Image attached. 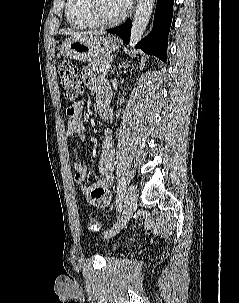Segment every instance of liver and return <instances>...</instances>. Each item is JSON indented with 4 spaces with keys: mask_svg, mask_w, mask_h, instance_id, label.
Here are the masks:
<instances>
[{
    "mask_svg": "<svg viewBox=\"0 0 239 303\" xmlns=\"http://www.w3.org/2000/svg\"><path fill=\"white\" fill-rule=\"evenodd\" d=\"M65 35H69L71 36V38H78V37H82V36H97V35H101L103 34V32H99V31H87V32H73V31H65L64 32Z\"/></svg>",
    "mask_w": 239,
    "mask_h": 303,
    "instance_id": "1",
    "label": "liver"
}]
</instances>
